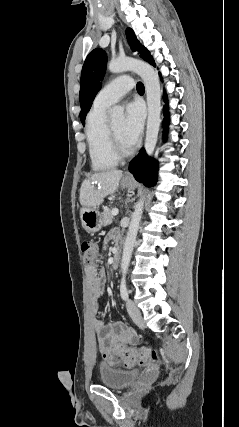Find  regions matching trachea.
Returning a JSON list of instances; mask_svg holds the SVG:
<instances>
[{"mask_svg":"<svg viewBox=\"0 0 239 427\" xmlns=\"http://www.w3.org/2000/svg\"><path fill=\"white\" fill-rule=\"evenodd\" d=\"M144 90H145V88H144L143 83H142V82H138V83H137V91H138L139 93H143V92H144Z\"/></svg>","mask_w":239,"mask_h":427,"instance_id":"obj_1","label":"trachea"}]
</instances>
